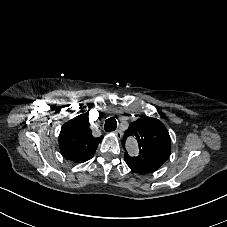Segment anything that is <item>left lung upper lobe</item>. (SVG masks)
Listing matches in <instances>:
<instances>
[{
  "label": "left lung upper lobe",
  "instance_id": "obj_1",
  "mask_svg": "<svg viewBox=\"0 0 227 227\" xmlns=\"http://www.w3.org/2000/svg\"><path fill=\"white\" fill-rule=\"evenodd\" d=\"M128 136H135L139 145L138 156L130 157L127 152L124 154V159L133 172L152 173L169 158L170 136L166 127L158 119L142 116L130 123L122 139L124 149Z\"/></svg>",
  "mask_w": 227,
  "mask_h": 227
}]
</instances>
